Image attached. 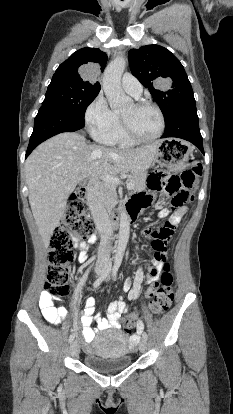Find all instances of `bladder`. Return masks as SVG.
Segmentation results:
<instances>
[{
	"label": "bladder",
	"mask_w": 233,
	"mask_h": 414,
	"mask_svg": "<svg viewBox=\"0 0 233 414\" xmlns=\"http://www.w3.org/2000/svg\"><path fill=\"white\" fill-rule=\"evenodd\" d=\"M131 363L128 337L116 328L101 332L93 343L92 351L84 357L86 367L102 373L125 369Z\"/></svg>",
	"instance_id": "obj_1"
}]
</instances>
